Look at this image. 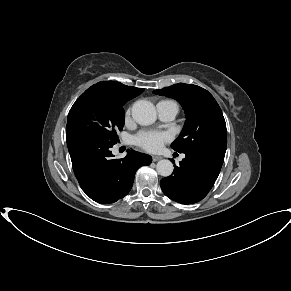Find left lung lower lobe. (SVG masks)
<instances>
[{
	"instance_id": "0a47b994",
	"label": "left lung lower lobe",
	"mask_w": 291,
	"mask_h": 291,
	"mask_svg": "<svg viewBox=\"0 0 291 291\" xmlns=\"http://www.w3.org/2000/svg\"><path fill=\"white\" fill-rule=\"evenodd\" d=\"M173 174L161 179L164 194L181 204L202 200L213 187L223 164L222 154L185 153Z\"/></svg>"
}]
</instances>
